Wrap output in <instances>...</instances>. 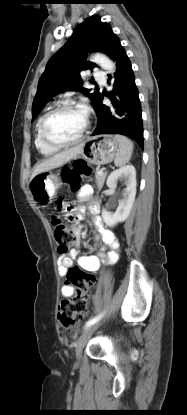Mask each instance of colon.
<instances>
[{
    "mask_svg": "<svg viewBox=\"0 0 187 415\" xmlns=\"http://www.w3.org/2000/svg\"><path fill=\"white\" fill-rule=\"evenodd\" d=\"M91 169L86 164H74L63 170L62 175L72 192L81 187V176L90 175ZM61 210H70L66 200H60ZM54 238L60 255H65L76 240L75 233L70 230L58 216L52 218ZM67 280L75 287L76 294L73 297L63 299L60 303L58 319L64 330L77 329L84 321L90 303L91 288L96 284L97 277L86 273L79 268H73L67 273Z\"/></svg>",
    "mask_w": 187,
    "mask_h": 415,
    "instance_id": "colon-1",
    "label": "colon"
}]
</instances>
